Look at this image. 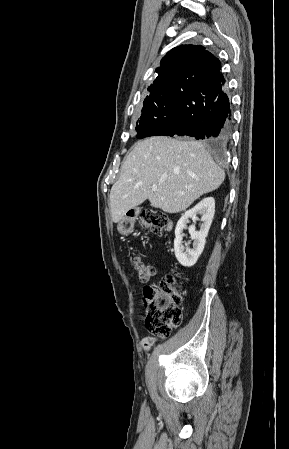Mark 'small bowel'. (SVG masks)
Segmentation results:
<instances>
[{
  "label": "small bowel",
  "mask_w": 289,
  "mask_h": 449,
  "mask_svg": "<svg viewBox=\"0 0 289 449\" xmlns=\"http://www.w3.org/2000/svg\"><path fill=\"white\" fill-rule=\"evenodd\" d=\"M155 341L156 339L154 337H145L143 338L141 345L144 350H147L155 343Z\"/></svg>",
  "instance_id": "obj_1"
}]
</instances>
